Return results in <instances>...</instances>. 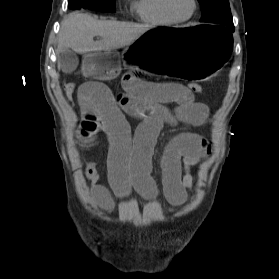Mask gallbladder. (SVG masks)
I'll return each mask as SVG.
<instances>
[{
  "label": "gallbladder",
  "mask_w": 279,
  "mask_h": 279,
  "mask_svg": "<svg viewBox=\"0 0 279 279\" xmlns=\"http://www.w3.org/2000/svg\"><path fill=\"white\" fill-rule=\"evenodd\" d=\"M58 62L61 70L64 73L69 74L77 69L79 59L77 57V54L73 50L67 49L59 54Z\"/></svg>",
  "instance_id": "bac80fb5"
}]
</instances>
